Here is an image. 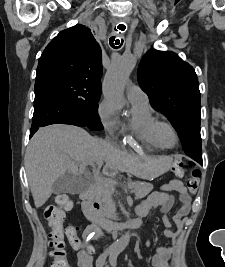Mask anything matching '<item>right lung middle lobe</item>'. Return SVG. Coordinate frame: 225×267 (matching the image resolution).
I'll use <instances>...</instances> for the list:
<instances>
[{"label":"right lung middle lobe","mask_w":225,"mask_h":267,"mask_svg":"<svg viewBox=\"0 0 225 267\" xmlns=\"http://www.w3.org/2000/svg\"><path fill=\"white\" fill-rule=\"evenodd\" d=\"M36 82L45 84L56 92L89 129H104L97 111L101 88L83 80L59 75L47 76Z\"/></svg>","instance_id":"obj_1"}]
</instances>
